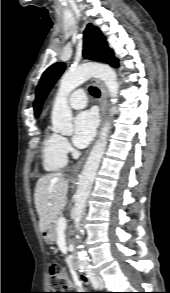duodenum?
<instances>
[{
    "mask_svg": "<svg viewBox=\"0 0 170 293\" xmlns=\"http://www.w3.org/2000/svg\"><path fill=\"white\" fill-rule=\"evenodd\" d=\"M72 266L75 270H78L79 264H78V260L76 257H73V259H72Z\"/></svg>",
    "mask_w": 170,
    "mask_h": 293,
    "instance_id": "obj_1",
    "label": "duodenum"
}]
</instances>
